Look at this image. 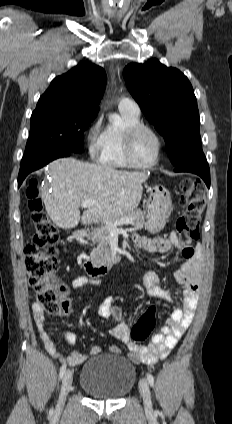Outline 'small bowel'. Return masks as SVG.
Listing matches in <instances>:
<instances>
[{
    "label": "small bowel",
    "instance_id": "small-bowel-1",
    "mask_svg": "<svg viewBox=\"0 0 232 424\" xmlns=\"http://www.w3.org/2000/svg\"><path fill=\"white\" fill-rule=\"evenodd\" d=\"M133 240L137 247L156 253H168L173 247L179 246V239L176 234H172L169 238H148L134 235ZM201 260L202 252L198 250L196 256L186 258L181 267L175 272L176 280L185 287L181 307L173 311L167 326H165L160 333L155 334L147 346H140L130 339L129 325L123 319L122 311L113 305V298L107 297L103 300L98 313L101 317L105 319L111 318L116 322L111 330V334L114 338L127 345L128 358L132 362L144 363L149 366L154 365L170 353L186 332L193 320L198 305L199 283L202 274ZM99 284V279L85 274L76 275L72 279L70 285L61 283L60 294L65 306V313L63 315L69 316L73 312L71 303L67 299L71 288L78 289L87 285L96 286ZM140 284L147 294L166 299L170 302H175L173 293L162 286V277L158 272H145L141 278ZM32 310L40 337L46 349L49 353L56 356V345L45 327V309L37 303H34ZM61 336L67 343L71 344L75 341V334L73 332L63 331ZM100 352V346L92 345L89 354L78 351L71 353L68 357V362L71 365H79L83 363L88 356H95ZM109 352L111 354H118L120 349L116 345H111L109 347Z\"/></svg>",
    "mask_w": 232,
    "mask_h": 424
}]
</instances>
